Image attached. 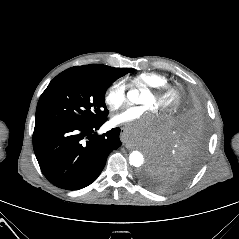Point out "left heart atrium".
<instances>
[{
	"instance_id": "left-heart-atrium-1",
	"label": "left heart atrium",
	"mask_w": 239,
	"mask_h": 239,
	"mask_svg": "<svg viewBox=\"0 0 239 239\" xmlns=\"http://www.w3.org/2000/svg\"><path fill=\"white\" fill-rule=\"evenodd\" d=\"M112 121L116 125H127L132 142L137 141L140 135L152 132L156 127V112L149 106H132L115 114ZM138 121L135 126L131 124Z\"/></svg>"
}]
</instances>
